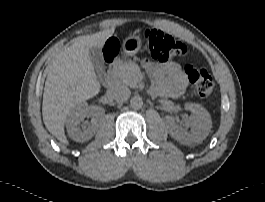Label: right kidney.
<instances>
[{
    "mask_svg": "<svg viewBox=\"0 0 265 202\" xmlns=\"http://www.w3.org/2000/svg\"><path fill=\"white\" fill-rule=\"evenodd\" d=\"M105 115L104 108L100 106H89L87 103L82 102L77 104L67 115L66 128L69 137L76 142H86L90 140L101 123ZM91 117V122L80 128L83 118Z\"/></svg>",
    "mask_w": 265,
    "mask_h": 202,
    "instance_id": "obj_1",
    "label": "right kidney"
}]
</instances>
